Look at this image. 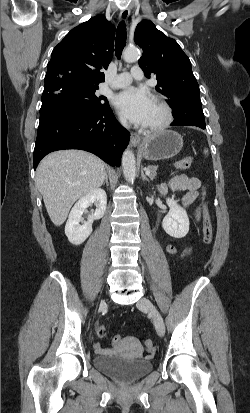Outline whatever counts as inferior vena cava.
<instances>
[{
  "label": "inferior vena cava",
  "mask_w": 250,
  "mask_h": 413,
  "mask_svg": "<svg viewBox=\"0 0 250 413\" xmlns=\"http://www.w3.org/2000/svg\"><path fill=\"white\" fill-rule=\"evenodd\" d=\"M120 122H121V124H122L124 127H128L127 120L121 118V119H120Z\"/></svg>",
  "instance_id": "obj_1"
}]
</instances>
